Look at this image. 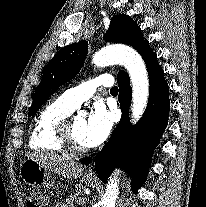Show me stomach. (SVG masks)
Instances as JSON below:
<instances>
[{"instance_id": "0dacf381", "label": "stomach", "mask_w": 206, "mask_h": 207, "mask_svg": "<svg viewBox=\"0 0 206 207\" xmlns=\"http://www.w3.org/2000/svg\"><path fill=\"white\" fill-rule=\"evenodd\" d=\"M19 174L22 180L28 185L46 189L53 188L54 186V181L49 169L41 166L31 158H28L21 163ZM82 180L88 186L95 187L97 185V181L94 178L84 176Z\"/></svg>"}]
</instances>
